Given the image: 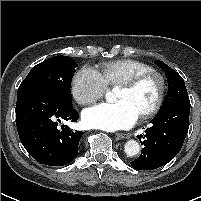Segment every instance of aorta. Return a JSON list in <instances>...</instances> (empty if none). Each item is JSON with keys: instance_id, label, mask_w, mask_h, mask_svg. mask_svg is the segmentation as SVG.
<instances>
[{"instance_id": "aorta-1", "label": "aorta", "mask_w": 201, "mask_h": 201, "mask_svg": "<svg viewBox=\"0 0 201 201\" xmlns=\"http://www.w3.org/2000/svg\"><path fill=\"white\" fill-rule=\"evenodd\" d=\"M110 96L111 93L108 92L106 97L109 98ZM124 151L130 157L135 156L140 152V145L136 140H129L125 143Z\"/></svg>"}]
</instances>
